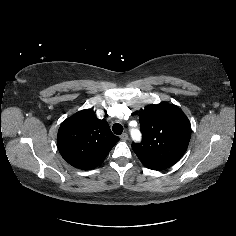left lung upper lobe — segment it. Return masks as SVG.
<instances>
[{
  "label": "left lung upper lobe",
  "mask_w": 236,
  "mask_h": 236,
  "mask_svg": "<svg viewBox=\"0 0 236 236\" xmlns=\"http://www.w3.org/2000/svg\"><path fill=\"white\" fill-rule=\"evenodd\" d=\"M141 143H132L140 161L149 169L164 170L185 153L191 125L180 108L167 102L150 105L139 114Z\"/></svg>",
  "instance_id": "1"
}]
</instances>
